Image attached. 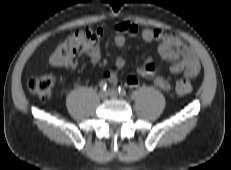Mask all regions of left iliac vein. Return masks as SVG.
<instances>
[{"mask_svg":"<svg viewBox=\"0 0 231 170\" xmlns=\"http://www.w3.org/2000/svg\"><path fill=\"white\" fill-rule=\"evenodd\" d=\"M108 94H109L110 97H113V98H117L119 96L118 91L116 89H114V88H110L108 90Z\"/></svg>","mask_w":231,"mask_h":170,"instance_id":"4c4485c4","label":"left iliac vein"}]
</instances>
